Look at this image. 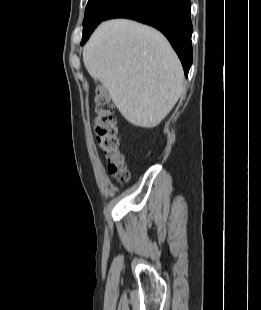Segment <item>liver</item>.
Returning <instances> with one entry per match:
<instances>
[{
	"label": "liver",
	"instance_id": "6515ba94",
	"mask_svg": "<svg viewBox=\"0 0 261 310\" xmlns=\"http://www.w3.org/2000/svg\"><path fill=\"white\" fill-rule=\"evenodd\" d=\"M88 73L131 124L157 126L184 89L182 65L156 29L127 19L103 22L83 49Z\"/></svg>",
	"mask_w": 261,
	"mask_h": 310
}]
</instances>
